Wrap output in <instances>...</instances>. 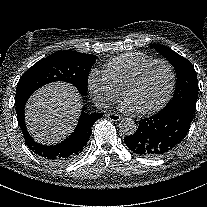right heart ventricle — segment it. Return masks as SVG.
Wrapping results in <instances>:
<instances>
[{
  "mask_svg": "<svg viewBox=\"0 0 207 207\" xmlns=\"http://www.w3.org/2000/svg\"><path fill=\"white\" fill-rule=\"evenodd\" d=\"M152 60L153 57L141 52L125 53L114 58L106 66L104 74L112 86L121 92L127 80Z\"/></svg>",
  "mask_w": 207,
  "mask_h": 207,
  "instance_id": "obj_1",
  "label": "right heart ventricle"
}]
</instances>
